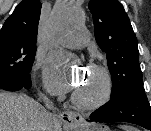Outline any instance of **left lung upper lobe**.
Masks as SVG:
<instances>
[{"label":"left lung upper lobe","instance_id":"5c2ea615","mask_svg":"<svg viewBox=\"0 0 151 131\" xmlns=\"http://www.w3.org/2000/svg\"><path fill=\"white\" fill-rule=\"evenodd\" d=\"M88 6L96 42L106 52L112 75L111 98L131 86L143 85L137 38L122 4L118 0H90Z\"/></svg>","mask_w":151,"mask_h":131}]
</instances>
